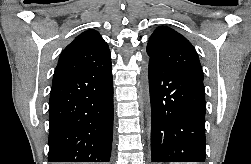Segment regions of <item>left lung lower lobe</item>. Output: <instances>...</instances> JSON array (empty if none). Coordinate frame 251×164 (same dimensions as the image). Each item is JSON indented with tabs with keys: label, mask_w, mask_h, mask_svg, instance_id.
I'll use <instances>...</instances> for the list:
<instances>
[{
	"label": "left lung lower lobe",
	"mask_w": 251,
	"mask_h": 164,
	"mask_svg": "<svg viewBox=\"0 0 251 164\" xmlns=\"http://www.w3.org/2000/svg\"><path fill=\"white\" fill-rule=\"evenodd\" d=\"M146 70L152 162H205L203 79L157 62Z\"/></svg>",
	"instance_id": "1"
}]
</instances>
